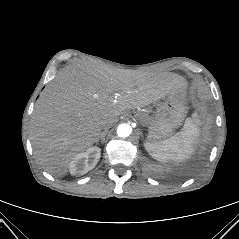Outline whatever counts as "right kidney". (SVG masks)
<instances>
[{
    "label": "right kidney",
    "mask_w": 239,
    "mask_h": 239,
    "mask_svg": "<svg viewBox=\"0 0 239 239\" xmlns=\"http://www.w3.org/2000/svg\"><path fill=\"white\" fill-rule=\"evenodd\" d=\"M101 156L99 147H90L86 151L77 154L69 164V171L72 175L81 176L92 170L98 163Z\"/></svg>",
    "instance_id": "1"
}]
</instances>
